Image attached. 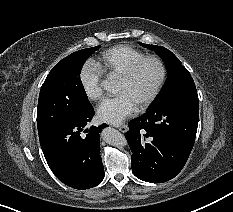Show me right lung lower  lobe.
Segmentation results:
<instances>
[{
  "mask_svg": "<svg viewBox=\"0 0 233 212\" xmlns=\"http://www.w3.org/2000/svg\"><path fill=\"white\" fill-rule=\"evenodd\" d=\"M93 116L92 108L76 119L62 122L39 135L50 169L61 182L75 189L92 188L105 175L99 133L106 124L86 128Z\"/></svg>",
  "mask_w": 233,
  "mask_h": 212,
  "instance_id": "right-lung-lower-lobe-1",
  "label": "right lung lower lobe"
}]
</instances>
